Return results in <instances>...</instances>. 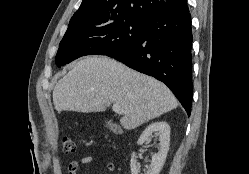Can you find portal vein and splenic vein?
Masks as SVG:
<instances>
[{
	"instance_id": "obj_1",
	"label": "portal vein and splenic vein",
	"mask_w": 249,
	"mask_h": 174,
	"mask_svg": "<svg viewBox=\"0 0 249 174\" xmlns=\"http://www.w3.org/2000/svg\"><path fill=\"white\" fill-rule=\"evenodd\" d=\"M112 110L115 112V113H118V114H123V110L121 109L120 105L118 104H114L112 106Z\"/></svg>"
}]
</instances>
